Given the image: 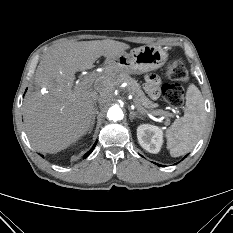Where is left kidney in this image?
<instances>
[{
  "label": "left kidney",
  "instance_id": "1",
  "mask_svg": "<svg viewBox=\"0 0 233 233\" xmlns=\"http://www.w3.org/2000/svg\"><path fill=\"white\" fill-rule=\"evenodd\" d=\"M137 138L142 148L156 154L163 144V131L154 125L142 124L137 128Z\"/></svg>",
  "mask_w": 233,
  "mask_h": 233
}]
</instances>
